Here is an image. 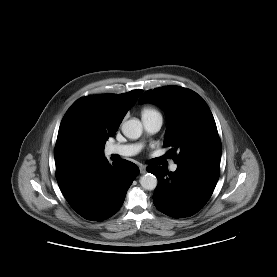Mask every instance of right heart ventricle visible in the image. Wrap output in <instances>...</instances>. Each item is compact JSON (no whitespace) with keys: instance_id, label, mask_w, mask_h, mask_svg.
I'll return each instance as SVG.
<instances>
[{"instance_id":"e07e8e85","label":"right heart ventricle","mask_w":277,"mask_h":277,"mask_svg":"<svg viewBox=\"0 0 277 277\" xmlns=\"http://www.w3.org/2000/svg\"><path fill=\"white\" fill-rule=\"evenodd\" d=\"M142 117L161 116L160 112L151 106H146L142 109Z\"/></svg>"}]
</instances>
